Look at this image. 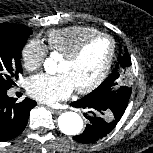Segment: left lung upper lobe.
Returning a JSON list of instances; mask_svg holds the SVG:
<instances>
[{
	"label": "left lung upper lobe",
	"mask_w": 153,
	"mask_h": 153,
	"mask_svg": "<svg viewBox=\"0 0 153 153\" xmlns=\"http://www.w3.org/2000/svg\"><path fill=\"white\" fill-rule=\"evenodd\" d=\"M118 62L123 68L131 65L127 49H125L123 56L119 55ZM121 81L122 77L116 67L109 77H107L94 91L83 98L85 100L106 104L107 107L104 110L106 116L117 123L125 112L132 91V88L127 86H120L118 89H115L120 85Z\"/></svg>",
	"instance_id": "obj_1"
}]
</instances>
